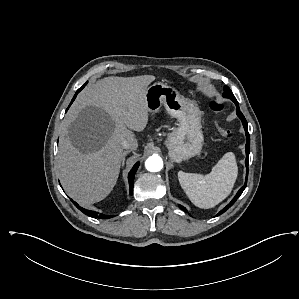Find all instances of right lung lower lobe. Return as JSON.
I'll list each match as a JSON object with an SVG mask.
<instances>
[{
    "label": "right lung lower lobe",
    "instance_id": "1",
    "mask_svg": "<svg viewBox=\"0 0 299 299\" xmlns=\"http://www.w3.org/2000/svg\"><path fill=\"white\" fill-rule=\"evenodd\" d=\"M84 86H82L80 89H78V91L76 92V94L74 95L70 105L72 104V102L74 101V99L76 98V95L83 89ZM139 162H137L133 168L131 169V171L128 174V180H129V185H130V193L132 194L133 191V183H134V175L139 167ZM71 201L75 204V206L80 209L84 214L91 216L93 218H99V219H108L111 218L113 216L111 215H104V214H99L98 212L95 211H87L84 208L80 207L76 202H74L72 199Z\"/></svg>",
    "mask_w": 299,
    "mask_h": 299
}]
</instances>
